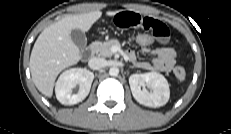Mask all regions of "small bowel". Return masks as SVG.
Segmentation results:
<instances>
[{
	"mask_svg": "<svg viewBox=\"0 0 231 134\" xmlns=\"http://www.w3.org/2000/svg\"><path fill=\"white\" fill-rule=\"evenodd\" d=\"M113 24L121 30H143L152 35L160 44V47L151 49L143 48L144 53L154 55L151 62L138 61L133 51L126 52V58L139 68L149 71H170L176 61V52L167 46L169 39L168 27L158 19L150 16H142L132 11L116 12L112 17Z\"/></svg>",
	"mask_w": 231,
	"mask_h": 134,
	"instance_id": "c3829d8e",
	"label": "small bowel"
}]
</instances>
